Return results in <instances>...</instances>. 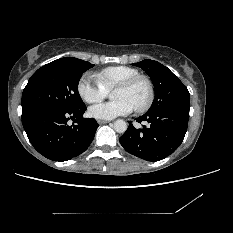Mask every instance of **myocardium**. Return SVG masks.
<instances>
[{"mask_svg": "<svg viewBox=\"0 0 233 233\" xmlns=\"http://www.w3.org/2000/svg\"><path fill=\"white\" fill-rule=\"evenodd\" d=\"M139 81H143L147 87L146 99L140 106L134 108L136 112L141 113V112L147 111L150 108L154 100V96H155L154 84L148 76L143 75V74H137V75L131 76L128 79L118 83L114 89H117V88L129 89Z\"/></svg>", "mask_w": 233, "mask_h": 233, "instance_id": "obj_1", "label": "myocardium"}]
</instances>
